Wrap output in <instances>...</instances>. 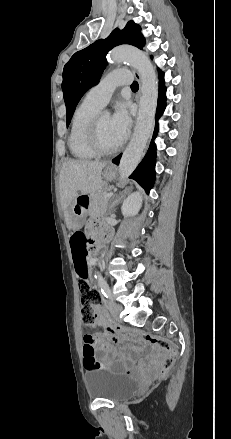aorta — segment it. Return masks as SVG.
Masks as SVG:
<instances>
[{"label": "aorta", "instance_id": "aorta-1", "mask_svg": "<svg viewBox=\"0 0 231 439\" xmlns=\"http://www.w3.org/2000/svg\"><path fill=\"white\" fill-rule=\"evenodd\" d=\"M109 61L130 63L141 78V97L134 133L119 164L120 176L125 179L136 169L151 135L158 99V80L148 56L136 48H114L109 54Z\"/></svg>", "mask_w": 231, "mask_h": 439}]
</instances>
